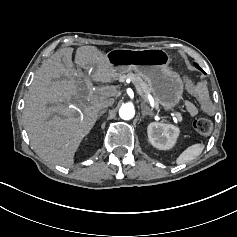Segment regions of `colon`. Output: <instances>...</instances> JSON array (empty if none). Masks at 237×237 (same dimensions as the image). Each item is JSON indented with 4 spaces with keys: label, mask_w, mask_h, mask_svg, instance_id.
<instances>
[{
    "label": "colon",
    "mask_w": 237,
    "mask_h": 237,
    "mask_svg": "<svg viewBox=\"0 0 237 237\" xmlns=\"http://www.w3.org/2000/svg\"><path fill=\"white\" fill-rule=\"evenodd\" d=\"M186 89L190 92L199 102L201 107L209 112L214 109L213 103L209 100L207 92L205 89L198 86V84L193 83L190 79H184ZM194 129L201 135H208L213 128V124L208 118H198L193 123Z\"/></svg>",
    "instance_id": "colon-1"
}]
</instances>
